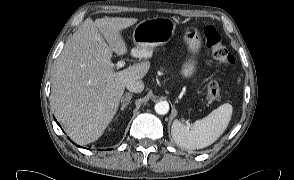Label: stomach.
Returning a JSON list of instances; mask_svg holds the SVG:
<instances>
[{
  "instance_id": "1",
  "label": "stomach",
  "mask_w": 294,
  "mask_h": 180,
  "mask_svg": "<svg viewBox=\"0 0 294 180\" xmlns=\"http://www.w3.org/2000/svg\"><path fill=\"white\" fill-rule=\"evenodd\" d=\"M176 29V23L168 17H155L139 22L133 30L134 53L138 57L151 54L154 47L168 43ZM184 40L192 53H197L201 47L200 32L195 27H188ZM196 69V62L188 60L182 68L185 77L191 76Z\"/></svg>"
}]
</instances>
